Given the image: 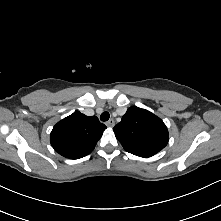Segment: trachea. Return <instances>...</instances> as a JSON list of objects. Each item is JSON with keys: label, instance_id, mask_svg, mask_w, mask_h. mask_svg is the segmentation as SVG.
Segmentation results:
<instances>
[{"label": "trachea", "instance_id": "1", "mask_svg": "<svg viewBox=\"0 0 221 221\" xmlns=\"http://www.w3.org/2000/svg\"><path fill=\"white\" fill-rule=\"evenodd\" d=\"M110 118L109 112L105 111L100 115V120L105 122Z\"/></svg>", "mask_w": 221, "mask_h": 221}]
</instances>
